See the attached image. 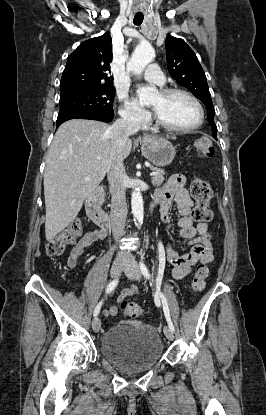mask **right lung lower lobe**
Returning <instances> with one entry per match:
<instances>
[{
	"instance_id": "obj_1",
	"label": "right lung lower lobe",
	"mask_w": 266,
	"mask_h": 415,
	"mask_svg": "<svg viewBox=\"0 0 266 415\" xmlns=\"http://www.w3.org/2000/svg\"><path fill=\"white\" fill-rule=\"evenodd\" d=\"M114 114L109 113H102V112H94V111H81V110H65L60 111L57 118V126L58 128L63 122L75 119V118H81V119H92V120H98L103 122H110L113 119Z\"/></svg>"
}]
</instances>
